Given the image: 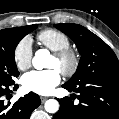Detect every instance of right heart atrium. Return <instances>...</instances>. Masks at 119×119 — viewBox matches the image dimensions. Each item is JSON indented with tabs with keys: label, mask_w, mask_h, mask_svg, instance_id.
I'll return each instance as SVG.
<instances>
[{
	"label": "right heart atrium",
	"mask_w": 119,
	"mask_h": 119,
	"mask_svg": "<svg viewBox=\"0 0 119 119\" xmlns=\"http://www.w3.org/2000/svg\"><path fill=\"white\" fill-rule=\"evenodd\" d=\"M32 54V44L30 38L25 37L21 39L13 52V58L19 70L24 71L31 66Z\"/></svg>",
	"instance_id": "d8ad5b80"
}]
</instances>
